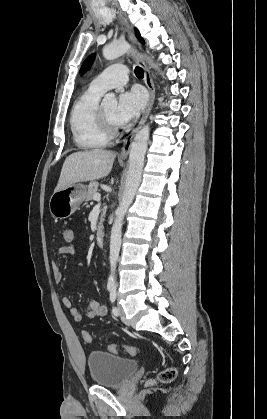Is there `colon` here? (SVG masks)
Segmentation results:
<instances>
[{
	"label": "colon",
	"mask_w": 267,
	"mask_h": 419,
	"mask_svg": "<svg viewBox=\"0 0 267 419\" xmlns=\"http://www.w3.org/2000/svg\"><path fill=\"white\" fill-rule=\"evenodd\" d=\"M63 240L67 245H75V236L74 232L70 228H66L62 231ZM82 338L85 342H91L92 337L88 331L82 332ZM107 349L114 354L125 353L128 355H136L137 349L131 345H118V344H109ZM176 377V369L174 367H166L159 372L156 379H149V384H154L156 381L168 383L174 380Z\"/></svg>",
	"instance_id": "colon-1"
}]
</instances>
